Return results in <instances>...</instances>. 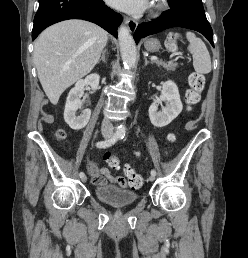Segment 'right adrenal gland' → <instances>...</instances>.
<instances>
[{"label": "right adrenal gland", "instance_id": "1", "mask_svg": "<svg viewBox=\"0 0 248 258\" xmlns=\"http://www.w3.org/2000/svg\"><path fill=\"white\" fill-rule=\"evenodd\" d=\"M108 54L107 50L105 49L103 52H102V55L100 57V59L98 60V64L100 63V61H106V55Z\"/></svg>", "mask_w": 248, "mask_h": 258}]
</instances>
